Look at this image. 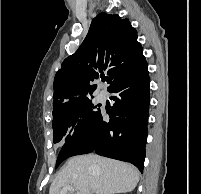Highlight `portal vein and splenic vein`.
Returning a JSON list of instances; mask_svg holds the SVG:
<instances>
[{"mask_svg":"<svg viewBox=\"0 0 201 194\" xmlns=\"http://www.w3.org/2000/svg\"><path fill=\"white\" fill-rule=\"evenodd\" d=\"M67 192H74V188L72 186H64L60 192V194H67ZM76 194H79L78 192Z\"/></svg>","mask_w":201,"mask_h":194,"instance_id":"portal-vein-and-splenic-vein-1","label":"portal vein and splenic vein"}]
</instances>
